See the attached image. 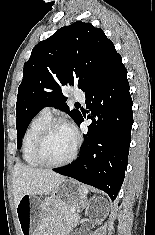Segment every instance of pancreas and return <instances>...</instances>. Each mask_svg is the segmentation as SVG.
<instances>
[{"mask_svg":"<svg viewBox=\"0 0 155 235\" xmlns=\"http://www.w3.org/2000/svg\"><path fill=\"white\" fill-rule=\"evenodd\" d=\"M57 211L60 216L67 222H73L75 220L76 215L71 212V210L65 207H58Z\"/></svg>","mask_w":155,"mask_h":235,"instance_id":"cf45deb5","label":"pancreas"}]
</instances>
